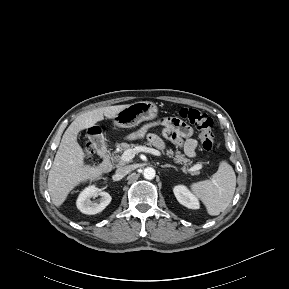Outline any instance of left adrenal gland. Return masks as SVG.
Returning a JSON list of instances; mask_svg holds the SVG:
<instances>
[{"label":"left adrenal gland","instance_id":"1","mask_svg":"<svg viewBox=\"0 0 289 289\" xmlns=\"http://www.w3.org/2000/svg\"><path fill=\"white\" fill-rule=\"evenodd\" d=\"M161 167H162V168L171 167V168L177 169L175 166L170 165V164L161 165Z\"/></svg>","mask_w":289,"mask_h":289}]
</instances>
